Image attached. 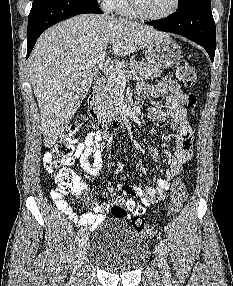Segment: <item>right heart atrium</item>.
Instances as JSON below:
<instances>
[{"mask_svg":"<svg viewBox=\"0 0 233 286\" xmlns=\"http://www.w3.org/2000/svg\"><path fill=\"white\" fill-rule=\"evenodd\" d=\"M103 9L106 11H112L114 9L115 3L117 0H100Z\"/></svg>","mask_w":233,"mask_h":286,"instance_id":"obj_1","label":"right heart atrium"}]
</instances>
